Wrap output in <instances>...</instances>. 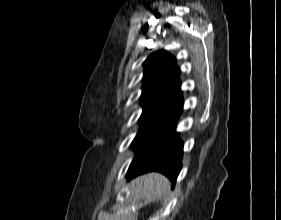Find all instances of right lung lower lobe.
Instances as JSON below:
<instances>
[{
	"mask_svg": "<svg viewBox=\"0 0 281 220\" xmlns=\"http://www.w3.org/2000/svg\"><path fill=\"white\" fill-rule=\"evenodd\" d=\"M179 115L134 158L127 172L129 177L158 171L175 181L182 167L183 154V143L175 132Z\"/></svg>",
	"mask_w": 281,
	"mask_h": 220,
	"instance_id": "1",
	"label": "right lung lower lobe"
}]
</instances>
